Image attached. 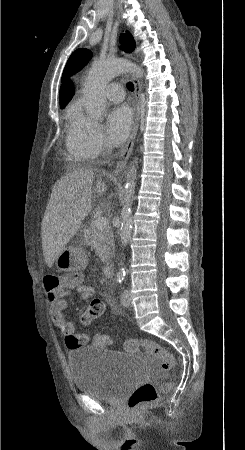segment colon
I'll return each mask as SVG.
<instances>
[{"label":"colon","mask_w":245,"mask_h":450,"mask_svg":"<svg viewBox=\"0 0 245 450\" xmlns=\"http://www.w3.org/2000/svg\"><path fill=\"white\" fill-rule=\"evenodd\" d=\"M81 275L79 272H69L64 276H51L44 280L45 289L60 290L77 284L81 281ZM103 302L100 300L92 301L85 312L82 314L80 321L83 325H90L96 318H98L103 312ZM88 340V337L83 332H75L67 336V344L70 347L82 346ZM140 347L155 356L159 362V366L164 371H170L175 366V359L172 353L165 350L162 346L156 344L153 341L147 339H140L135 341L133 338H129L125 344V350L132 351L135 348ZM171 383L166 382L162 385L163 391L170 389ZM159 399V393L152 383H144L139 385L128 399V407L132 412H139L143 407L155 403Z\"/></svg>","instance_id":"colon-1"}]
</instances>
